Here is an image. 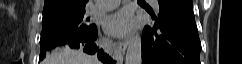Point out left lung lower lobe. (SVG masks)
<instances>
[{"instance_id": "1", "label": "left lung lower lobe", "mask_w": 242, "mask_h": 64, "mask_svg": "<svg viewBox=\"0 0 242 64\" xmlns=\"http://www.w3.org/2000/svg\"><path fill=\"white\" fill-rule=\"evenodd\" d=\"M158 2V18L142 34V64H200L192 0Z\"/></svg>"}]
</instances>
